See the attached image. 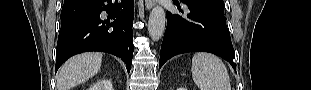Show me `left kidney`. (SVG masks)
I'll return each instance as SVG.
<instances>
[{
	"instance_id": "obj_1",
	"label": "left kidney",
	"mask_w": 311,
	"mask_h": 90,
	"mask_svg": "<svg viewBox=\"0 0 311 90\" xmlns=\"http://www.w3.org/2000/svg\"><path fill=\"white\" fill-rule=\"evenodd\" d=\"M177 90H186V88H178Z\"/></svg>"
}]
</instances>
